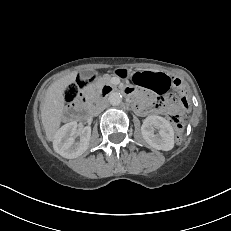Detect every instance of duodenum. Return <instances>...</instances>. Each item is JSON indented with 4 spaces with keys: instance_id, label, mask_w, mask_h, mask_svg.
Returning a JSON list of instances; mask_svg holds the SVG:
<instances>
[{
    "instance_id": "duodenum-1",
    "label": "duodenum",
    "mask_w": 231,
    "mask_h": 231,
    "mask_svg": "<svg viewBox=\"0 0 231 231\" xmlns=\"http://www.w3.org/2000/svg\"><path fill=\"white\" fill-rule=\"evenodd\" d=\"M115 87L110 86V85H104L100 91V93L96 96V102H99L101 99H103L104 97H106L108 94H110L111 92L115 91ZM125 94L130 95L131 92L129 91V89L124 90ZM140 105V104H139ZM71 115L73 118L76 119H80L81 118V114L79 112V110H74L71 112Z\"/></svg>"
}]
</instances>
